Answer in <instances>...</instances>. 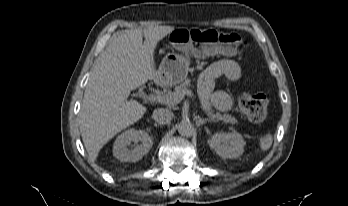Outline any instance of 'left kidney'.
<instances>
[{"label": "left kidney", "instance_id": "obj_1", "mask_svg": "<svg viewBox=\"0 0 348 206\" xmlns=\"http://www.w3.org/2000/svg\"><path fill=\"white\" fill-rule=\"evenodd\" d=\"M208 144L222 158H237L244 152V141L239 132L216 133Z\"/></svg>", "mask_w": 348, "mask_h": 206}]
</instances>
